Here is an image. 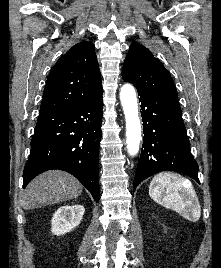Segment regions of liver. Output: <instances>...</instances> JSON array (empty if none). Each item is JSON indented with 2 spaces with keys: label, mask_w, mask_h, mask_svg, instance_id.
<instances>
[{
  "label": "liver",
  "mask_w": 221,
  "mask_h": 268,
  "mask_svg": "<svg viewBox=\"0 0 221 268\" xmlns=\"http://www.w3.org/2000/svg\"><path fill=\"white\" fill-rule=\"evenodd\" d=\"M81 183L69 173L53 170L34 178L22 196L24 209L69 201L82 193Z\"/></svg>",
  "instance_id": "liver-1"
}]
</instances>
